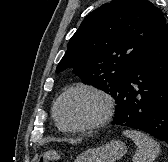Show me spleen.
Returning a JSON list of instances; mask_svg holds the SVG:
<instances>
[{
    "mask_svg": "<svg viewBox=\"0 0 168 162\" xmlns=\"http://www.w3.org/2000/svg\"><path fill=\"white\" fill-rule=\"evenodd\" d=\"M123 135L132 139L138 147L133 162H153L160 153V146L149 135L137 130H125Z\"/></svg>",
    "mask_w": 168,
    "mask_h": 162,
    "instance_id": "obj_1",
    "label": "spleen"
}]
</instances>
